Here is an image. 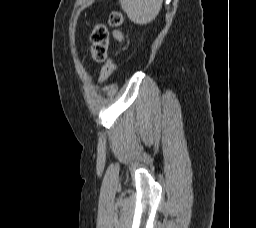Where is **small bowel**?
Listing matches in <instances>:
<instances>
[{"label":"small bowel","instance_id":"c3829d8e","mask_svg":"<svg viewBox=\"0 0 256 228\" xmlns=\"http://www.w3.org/2000/svg\"><path fill=\"white\" fill-rule=\"evenodd\" d=\"M113 36L119 42L120 48H121L123 40H124V36H123L122 32L119 31V30H114L113 31Z\"/></svg>","mask_w":256,"mask_h":228}]
</instances>
